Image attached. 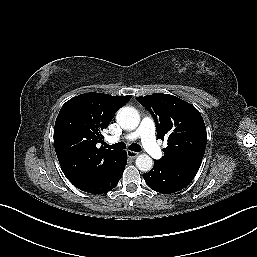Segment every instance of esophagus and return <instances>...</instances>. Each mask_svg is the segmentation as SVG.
Segmentation results:
<instances>
[{
    "label": "esophagus",
    "instance_id": "esophagus-1",
    "mask_svg": "<svg viewBox=\"0 0 257 257\" xmlns=\"http://www.w3.org/2000/svg\"><path fill=\"white\" fill-rule=\"evenodd\" d=\"M127 155H128L129 158L134 159V158H136V157L138 156V153H137V152H134V151L128 150V151H127Z\"/></svg>",
    "mask_w": 257,
    "mask_h": 257
}]
</instances>
